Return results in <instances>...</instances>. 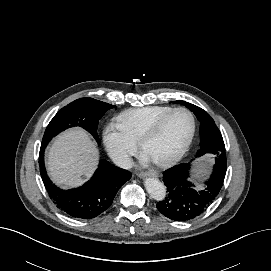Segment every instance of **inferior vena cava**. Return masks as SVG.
Segmentation results:
<instances>
[{"instance_id": "inferior-vena-cava-1", "label": "inferior vena cava", "mask_w": 271, "mask_h": 271, "mask_svg": "<svg viewBox=\"0 0 271 271\" xmlns=\"http://www.w3.org/2000/svg\"><path fill=\"white\" fill-rule=\"evenodd\" d=\"M111 159L115 165L124 169H130L133 166L131 158L126 153H114Z\"/></svg>"}]
</instances>
